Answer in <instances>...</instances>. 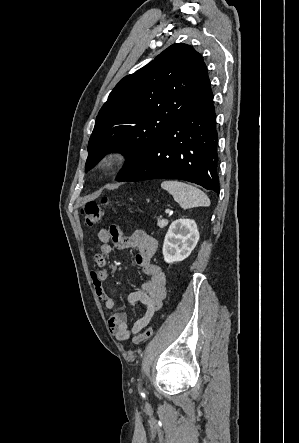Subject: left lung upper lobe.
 Returning a JSON list of instances; mask_svg holds the SVG:
<instances>
[{
	"label": "left lung upper lobe",
	"mask_w": 299,
	"mask_h": 443,
	"mask_svg": "<svg viewBox=\"0 0 299 443\" xmlns=\"http://www.w3.org/2000/svg\"><path fill=\"white\" fill-rule=\"evenodd\" d=\"M209 84L202 56L182 43L124 77L98 113L86 171L109 151H119L127 159L117 179L125 175Z\"/></svg>",
	"instance_id": "left-lung-upper-lobe-1"
}]
</instances>
